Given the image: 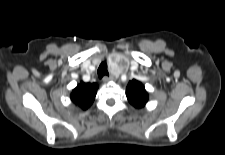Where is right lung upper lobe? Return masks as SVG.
<instances>
[{
	"mask_svg": "<svg viewBox=\"0 0 225 155\" xmlns=\"http://www.w3.org/2000/svg\"><path fill=\"white\" fill-rule=\"evenodd\" d=\"M98 85L96 83L81 82L71 93V100L79 108L86 110L93 103Z\"/></svg>",
	"mask_w": 225,
	"mask_h": 155,
	"instance_id": "cb5924a9",
	"label": "right lung upper lobe"
}]
</instances>
